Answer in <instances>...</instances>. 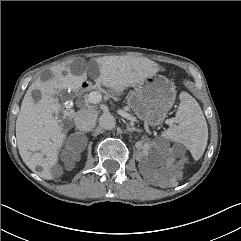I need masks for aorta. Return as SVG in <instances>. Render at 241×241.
Wrapping results in <instances>:
<instances>
[{
	"mask_svg": "<svg viewBox=\"0 0 241 241\" xmlns=\"http://www.w3.org/2000/svg\"><path fill=\"white\" fill-rule=\"evenodd\" d=\"M99 125L105 130H111L116 125V120L114 116L110 113H103L99 117Z\"/></svg>",
	"mask_w": 241,
	"mask_h": 241,
	"instance_id": "aorta-1",
	"label": "aorta"
}]
</instances>
